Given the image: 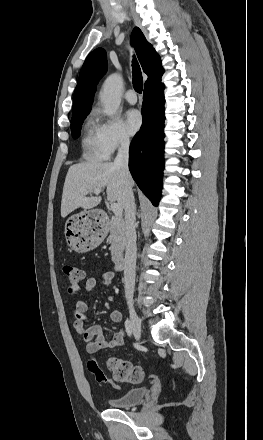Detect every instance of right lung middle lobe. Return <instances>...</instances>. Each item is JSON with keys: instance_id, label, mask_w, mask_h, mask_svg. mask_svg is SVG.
Returning <instances> with one entry per match:
<instances>
[{"instance_id": "obj_1", "label": "right lung middle lobe", "mask_w": 263, "mask_h": 440, "mask_svg": "<svg viewBox=\"0 0 263 440\" xmlns=\"http://www.w3.org/2000/svg\"><path fill=\"white\" fill-rule=\"evenodd\" d=\"M88 114L89 113H84V114L72 117V119H71V133H72V137L74 139L79 137L82 123Z\"/></svg>"}]
</instances>
